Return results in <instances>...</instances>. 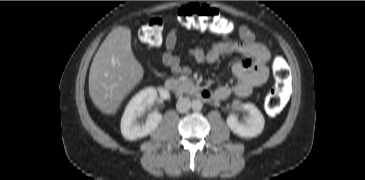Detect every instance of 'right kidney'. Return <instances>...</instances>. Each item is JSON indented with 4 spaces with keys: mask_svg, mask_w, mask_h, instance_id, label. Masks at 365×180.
I'll list each match as a JSON object with an SVG mask.
<instances>
[{
    "mask_svg": "<svg viewBox=\"0 0 365 180\" xmlns=\"http://www.w3.org/2000/svg\"><path fill=\"white\" fill-rule=\"evenodd\" d=\"M168 99L169 92L163 88L149 87L137 93L128 103L121 119V133L127 140H136L154 131L162 121V115L154 112L148 115L146 123L139 124L137 118L158 98Z\"/></svg>",
    "mask_w": 365,
    "mask_h": 180,
    "instance_id": "right-kidney-1",
    "label": "right kidney"
}]
</instances>
